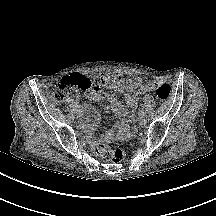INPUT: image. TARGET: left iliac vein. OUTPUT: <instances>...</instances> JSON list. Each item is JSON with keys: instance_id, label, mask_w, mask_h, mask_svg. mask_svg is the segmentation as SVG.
I'll return each instance as SVG.
<instances>
[{"instance_id": "obj_1", "label": "left iliac vein", "mask_w": 216, "mask_h": 216, "mask_svg": "<svg viewBox=\"0 0 216 216\" xmlns=\"http://www.w3.org/2000/svg\"><path fill=\"white\" fill-rule=\"evenodd\" d=\"M145 116H146L145 112L142 111V112H141V116L139 117V119H140V121H141L142 123L145 122Z\"/></svg>"}]
</instances>
